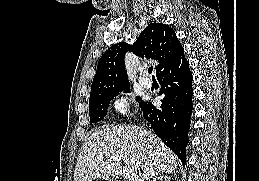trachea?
I'll list each match as a JSON object with an SVG mask.
<instances>
[{
	"instance_id": "3493384b",
	"label": "trachea",
	"mask_w": 259,
	"mask_h": 181,
	"mask_svg": "<svg viewBox=\"0 0 259 181\" xmlns=\"http://www.w3.org/2000/svg\"><path fill=\"white\" fill-rule=\"evenodd\" d=\"M152 71H153V67L151 66V67L148 68V73L151 74ZM152 77L154 78V76H152Z\"/></svg>"
}]
</instances>
